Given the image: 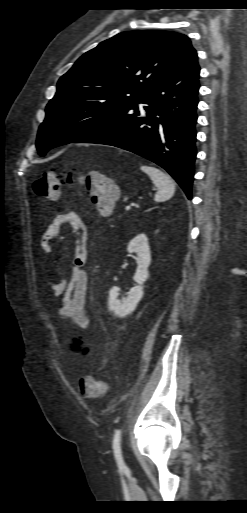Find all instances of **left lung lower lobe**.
I'll use <instances>...</instances> for the list:
<instances>
[{
  "label": "left lung lower lobe",
  "instance_id": "obj_1",
  "mask_svg": "<svg viewBox=\"0 0 247 513\" xmlns=\"http://www.w3.org/2000/svg\"><path fill=\"white\" fill-rule=\"evenodd\" d=\"M197 56L96 131L73 142L116 146L163 167L191 199L196 157ZM139 103L148 104L145 111Z\"/></svg>",
  "mask_w": 247,
  "mask_h": 513
}]
</instances>
